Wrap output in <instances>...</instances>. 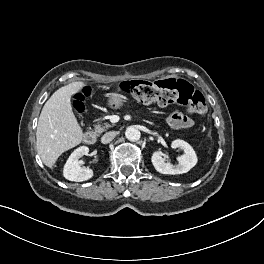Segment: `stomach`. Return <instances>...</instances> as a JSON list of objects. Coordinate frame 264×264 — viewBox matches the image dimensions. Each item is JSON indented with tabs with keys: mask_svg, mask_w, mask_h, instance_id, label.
Here are the masks:
<instances>
[{
	"mask_svg": "<svg viewBox=\"0 0 264 264\" xmlns=\"http://www.w3.org/2000/svg\"><path fill=\"white\" fill-rule=\"evenodd\" d=\"M106 97L108 106L114 109H119L126 101L125 96L119 92H110L106 94Z\"/></svg>",
	"mask_w": 264,
	"mask_h": 264,
	"instance_id": "1",
	"label": "stomach"
}]
</instances>
